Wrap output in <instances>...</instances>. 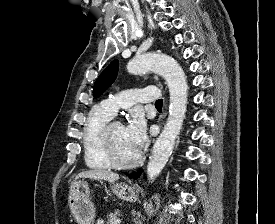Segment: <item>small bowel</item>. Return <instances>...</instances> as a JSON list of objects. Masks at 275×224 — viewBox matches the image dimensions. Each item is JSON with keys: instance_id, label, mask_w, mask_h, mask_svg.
<instances>
[{"instance_id": "small-bowel-1", "label": "small bowel", "mask_w": 275, "mask_h": 224, "mask_svg": "<svg viewBox=\"0 0 275 224\" xmlns=\"http://www.w3.org/2000/svg\"><path fill=\"white\" fill-rule=\"evenodd\" d=\"M96 224H103V221L101 219L97 220Z\"/></svg>"}]
</instances>
